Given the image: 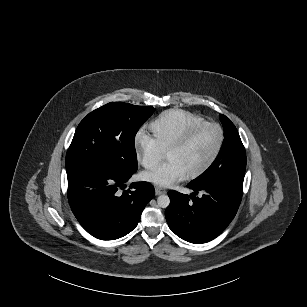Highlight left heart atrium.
<instances>
[{
	"label": "left heart atrium",
	"instance_id": "39dd6f15",
	"mask_svg": "<svg viewBox=\"0 0 307 307\" xmlns=\"http://www.w3.org/2000/svg\"><path fill=\"white\" fill-rule=\"evenodd\" d=\"M186 176L184 170L172 161H166L141 174L143 180L159 187L170 186L174 182L183 180Z\"/></svg>",
	"mask_w": 307,
	"mask_h": 307
}]
</instances>
